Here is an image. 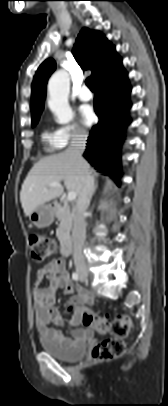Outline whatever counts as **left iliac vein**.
<instances>
[{"instance_id":"1","label":"left iliac vein","mask_w":168,"mask_h":406,"mask_svg":"<svg viewBox=\"0 0 168 406\" xmlns=\"http://www.w3.org/2000/svg\"><path fill=\"white\" fill-rule=\"evenodd\" d=\"M81 281H84V279L80 278Z\"/></svg>"}]
</instances>
